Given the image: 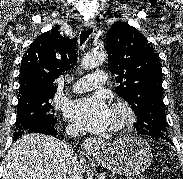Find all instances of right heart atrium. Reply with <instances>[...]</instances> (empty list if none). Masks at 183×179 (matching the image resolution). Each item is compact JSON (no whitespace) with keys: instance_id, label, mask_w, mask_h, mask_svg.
<instances>
[{"instance_id":"obj_1","label":"right heart atrium","mask_w":183,"mask_h":179,"mask_svg":"<svg viewBox=\"0 0 183 179\" xmlns=\"http://www.w3.org/2000/svg\"><path fill=\"white\" fill-rule=\"evenodd\" d=\"M68 128H69V130H71V131H76V130H77V126L74 125V124L69 125Z\"/></svg>"}]
</instances>
